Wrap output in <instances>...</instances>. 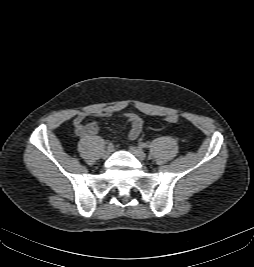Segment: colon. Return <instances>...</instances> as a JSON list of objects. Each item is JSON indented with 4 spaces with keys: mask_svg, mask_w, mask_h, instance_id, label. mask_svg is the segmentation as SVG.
Here are the masks:
<instances>
[{
    "mask_svg": "<svg viewBox=\"0 0 254 267\" xmlns=\"http://www.w3.org/2000/svg\"><path fill=\"white\" fill-rule=\"evenodd\" d=\"M165 120L168 122V123H176L178 121V116L177 115H168L166 116Z\"/></svg>",
    "mask_w": 254,
    "mask_h": 267,
    "instance_id": "5ec220e1",
    "label": "colon"
}]
</instances>
